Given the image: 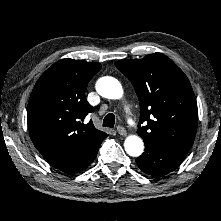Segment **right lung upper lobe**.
I'll return each instance as SVG.
<instances>
[{
  "mask_svg": "<svg viewBox=\"0 0 221 221\" xmlns=\"http://www.w3.org/2000/svg\"><path fill=\"white\" fill-rule=\"evenodd\" d=\"M101 65L83 60L62 59L47 69L31 93L27 120L30 137L48 161L62 159L106 138L92 120L85 90Z\"/></svg>",
  "mask_w": 221,
  "mask_h": 221,
  "instance_id": "1",
  "label": "right lung upper lobe"
}]
</instances>
